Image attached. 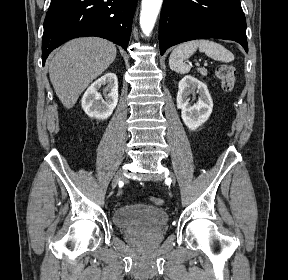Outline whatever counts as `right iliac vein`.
<instances>
[{
    "instance_id": "obj_1",
    "label": "right iliac vein",
    "mask_w": 288,
    "mask_h": 280,
    "mask_svg": "<svg viewBox=\"0 0 288 280\" xmlns=\"http://www.w3.org/2000/svg\"><path fill=\"white\" fill-rule=\"evenodd\" d=\"M124 178L123 173L122 172H118L112 182V186L115 187L117 185V183L122 180Z\"/></svg>"
}]
</instances>
